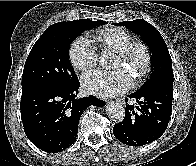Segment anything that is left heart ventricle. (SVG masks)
<instances>
[{
	"instance_id": "obj_1",
	"label": "left heart ventricle",
	"mask_w": 196,
	"mask_h": 166,
	"mask_svg": "<svg viewBox=\"0 0 196 166\" xmlns=\"http://www.w3.org/2000/svg\"><path fill=\"white\" fill-rule=\"evenodd\" d=\"M142 61L140 53H137L132 62H124L118 55L114 61V68H127L132 74H135Z\"/></svg>"
}]
</instances>
